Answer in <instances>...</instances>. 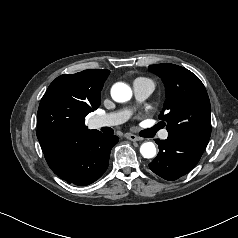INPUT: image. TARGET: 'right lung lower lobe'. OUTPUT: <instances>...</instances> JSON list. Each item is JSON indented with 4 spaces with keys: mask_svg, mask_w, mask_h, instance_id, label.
Returning a JSON list of instances; mask_svg holds the SVG:
<instances>
[{
    "mask_svg": "<svg viewBox=\"0 0 238 238\" xmlns=\"http://www.w3.org/2000/svg\"><path fill=\"white\" fill-rule=\"evenodd\" d=\"M117 136H107L98 130L77 132L63 145L45 155V159L61 179L85 186L99 179L106 171Z\"/></svg>",
    "mask_w": 238,
    "mask_h": 238,
    "instance_id": "1",
    "label": "right lung lower lobe"
}]
</instances>
